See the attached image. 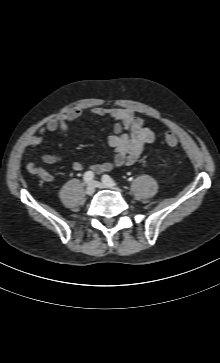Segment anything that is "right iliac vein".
<instances>
[{
  "instance_id": "right-iliac-vein-1",
  "label": "right iliac vein",
  "mask_w": 220,
  "mask_h": 363,
  "mask_svg": "<svg viewBox=\"0 0 220 363\" xmlns=\"http://www.w3.org/2000/svg\"><path fill=\"white\" fill-rule=\"evenodd\" d=\"M94 192H95V186L93 185V183H90L89 185H87L86 194L91 196L94 194Z\"/></svg>"
}]
</instances>
